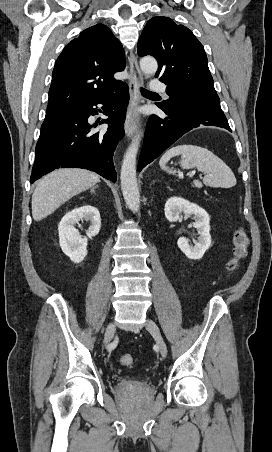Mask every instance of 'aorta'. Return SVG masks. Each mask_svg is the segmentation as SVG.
<instances>
[{"instance_id":"obj_1","label":"aorta","mask_w":272,"mask_h":452,"mask_svg":"<svg viewBox=\"0 0 272 452\" xmlns=\"http://www.w3.org/2000/svg\"><path fill=\"white\" fill-rule=\"evenodd\" d=\"M142 72L148 76L155 74L158 69L157 61L150 56L140 60ZM142 133L139 132L127 148L121 166V190L127 207L137 212L140 206V194L136 178V156L140 146Z\"/></svg>"}]
</instances>
